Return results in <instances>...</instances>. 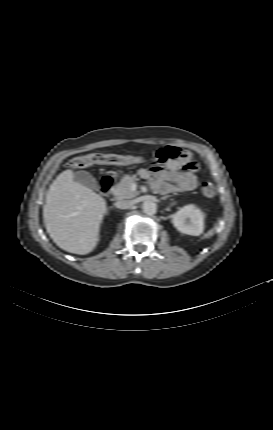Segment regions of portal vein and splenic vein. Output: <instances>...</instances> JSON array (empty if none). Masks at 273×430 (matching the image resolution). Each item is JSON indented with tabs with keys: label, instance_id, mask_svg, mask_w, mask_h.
Returning <instances> with one entry per match:
<instances>
[{
	"label": "portal vein and splenic vein",
	"instance_id": "1",
	"mask_svg": "<svg viewBox=\"0 0 273 430\" xmlns=\"http://www.w3.org/2000/svg\"><path fill=\"white\" fill-rule=\"evenodd\" d=\"M131 189H132V190H135V185H134V184L131 186Z\"/></svg>",
	"mask_w": 273,
	"mask_h": 430
}]
</instances>
